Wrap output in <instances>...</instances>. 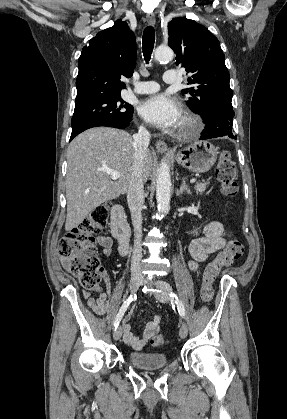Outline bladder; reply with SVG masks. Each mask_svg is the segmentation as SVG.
I'll return each instance as SVG.
<instances>
[{
    "label": "bladder",
    "instance_id": "31cf9c89",
    "mask_svg": "<svg viewBox=\"0 0 287 419\" xmlns=\"http://www.w3.org/2000/svg\"><path fill=\"white\" fill-rule=\"evenodd\" d=\"M128 361L134 367L140 369L154 370L163 368L168 359L164 354L149 353V352H131L128 355Z\"/></svg>",
    "mask_w": 287,
    "mask_h": 419
}]
</instances>
